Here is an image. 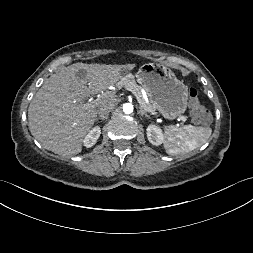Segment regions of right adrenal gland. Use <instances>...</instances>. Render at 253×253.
<instances>
[{
	"instance_id": "right-adrenal-gland-1",
	"label": "right adrenal gland",
	"mask_w": 253,
	"mask_h": 253,
	"mask_svg": "<svg viewBox=\"0 0 253 253\" xmlns=\"http://www.w3.org/2000/svg\"><path fill=\"white\" fill-rule=\"evenodd\" d=\"M107 119H108V116H105V117L99 116V117L96 118V121H98V120H107Z\"/></svg>"
}]
</instances>
